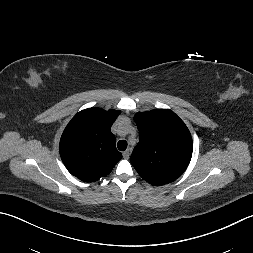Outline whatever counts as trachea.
<instances>
[{
  "label": "trachea",
  "instance_id": "trachea-1",
  "mask_svg": "<svg viewBox=\"0 0 253 253\" xmlns=\"http://www.w3.org/2000/svg\"><path fill=\"white\" fill-rule=\"evenodd\" d=\"M117 147L120 151H124L126 150L127 148V142L125 140H120L118 143H117Z\"/></svg>",
  "mask_w": 253,
  "mask_h": 253
}]
</instances>
